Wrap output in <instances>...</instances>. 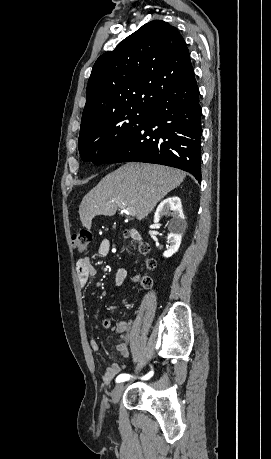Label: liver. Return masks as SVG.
I'll return each instance as SVG.
<instances>
[{
  "label": "liver",
  "mask_w": 271,
  "mask_h": 459,
  "mask_svg": "<svg viewBox=\"0 0 271 459\" xmlns=\"http://www.w3.org/2000/svg\"><path fill=\"white\" fill-rule=\"evenodd\" d=\"M185 176V172L166 166L125 164L84 196L79 206L80 220L84 228L91 229L94 216H114L119 204L135 208L137 220H143L168 192L180 186Z\"/></svg>",
  "instance_id": "liver-1"
}]
</instances>
